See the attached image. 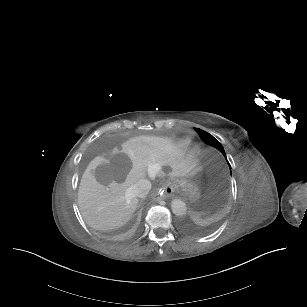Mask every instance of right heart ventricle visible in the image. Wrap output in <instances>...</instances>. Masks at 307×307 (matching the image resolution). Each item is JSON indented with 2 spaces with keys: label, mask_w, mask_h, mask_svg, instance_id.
<instances>
[{
  "label": "right heart ventricle",
  "mask_w": 307,
  "mask_h": 307,
  "mask_svg": "<svg viewBox=\"0 0 307 307\" xmlns=\"http://www.w3.org/2000/svg\"><path fill=\"white\" fill-rule=\"evenodd\" d=\"M190 145L191 140L189 138H180L174 142L173 147L176 151L184 153L189 149Z\"/></svg>",
  "instance_id": "obj_1"
}]
</instances>
